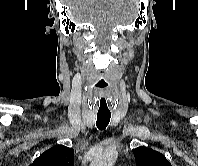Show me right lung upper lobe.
Wrapping results in <instances>:
<instances>
[{
	"instance_id": "cb5924a9",
	"label": "right lung upper lobe",
	"mask_w": 198,
	"mask_h": 166,
	"mask_svg": "<svg viewBox=\"0 0 198 166\" xmlns=\"http://www.w3.org/2000/svg\"><path fill=\"white\" fill-rule=\"evenodd\" d=\"M31 166H74V150L57 145L42 153Z\"/></svg>"
}]
</instances>
